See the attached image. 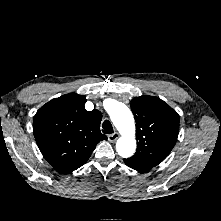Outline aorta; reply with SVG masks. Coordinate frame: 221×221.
Wrapping results in <instances>:
<instances>
[{
    "label": "aorta",
    "mask_w": 221,
    "mask_h": 221,
    "mask_svg": "<svg viewBox=\"0 0 221 221\" xmlns=\"http://www.w3.org/2000/svg\"><path fill=\"white\" fill-rule=\"evenodd\" d=\"M110 118L121 134L116 142L117 153L123 157H131L136 150L135 122L130 109L121 102H113L109 109Z\"/></svg>",
    "instance_id": "obj_1"
}]
</instances>
